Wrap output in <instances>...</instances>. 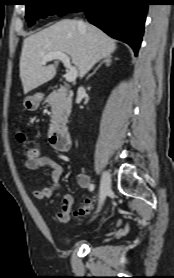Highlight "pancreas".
<instances>
[{
	"label": "pancreas",
	"mask_w": 174,
	"mask_h": 278,
	"mask_svg": "<svg viewBox=\"0 0 174 278\" xmlns=\"http://www.w3.org/2000/svg\"><path fill=\"white\" fill-rule=\"evenodd\" d=\"M45 102L51 107L52 121L65 122L71 112L72 93L65 87H60V89L48 95Z\"/></svg>",
	"instance_id": "obj_1"
}]
</instances>
